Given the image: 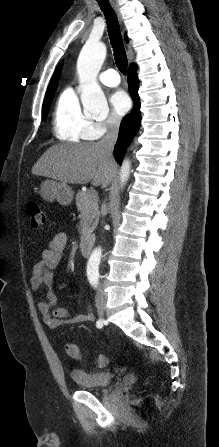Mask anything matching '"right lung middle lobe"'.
Returning <instances> with one entry per match:
<instances>
[{
  "instance_id": "right-lung-middle-lobe-1",
  "label": "right lung middle lobe",
  "mask_w": 219,
  "mask_h": 447,
  "mask_svg": "<svg viewBox=\"0 0 219 447\" xmlns=\"http://www.w3.org/2000/svg\"><path fill=\"white\" fill-rule=\"evenodd\" d=\"M52 98H53V96H50V97L44 99L43 107H42V115L44 118H46L47 111H48V108H49Z\"/></svg>"
}]
</instances>
